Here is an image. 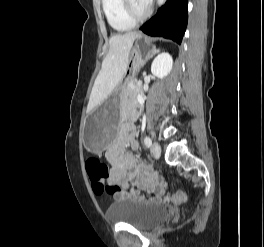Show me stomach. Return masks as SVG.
<instances>
[{
	"instance_id": "stomach-1",
	"label": "stomach",
	"mask_w": 264,
	"mask_h": 247,
	"mask_svg": "<svg viewBox=\"0 0 264 247\" xmlns=\"http://www.w3.org/2000/svg\"><path fill=\"white\" fill-rule=\"evenodd\" d=\"M149 42L133 44L130 57V76H134L140 68H145V58L150 57ZM127 83V82H126ZM122 83L111 96L98 108L90 112L83 121L82 139L85 148L91 153H101L108 148L117 135L120 122L121 100L125 93Z\"/></svg>"
}]
</instances>
